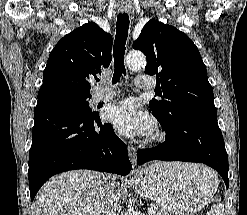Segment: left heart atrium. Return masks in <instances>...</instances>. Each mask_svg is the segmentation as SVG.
Here are the masks:
<instances>
[{
	"label": "left heart atrium",
	"instance_id": "39dd6f15",
	"mask_svg": "<svg viewBox=\"0 0 247 215\" xmlns=\"http://www.w3.org/2000/svg\"><path fill=\"white\" fill-rule=\"evenodd\" d=\"M105 116L115 130L125 137L149 135L154 130L153 119L131 99L110 105Z\"/></svg>",
	"mask_w": 247,
	"mask_h": 215
}]
</instances>
